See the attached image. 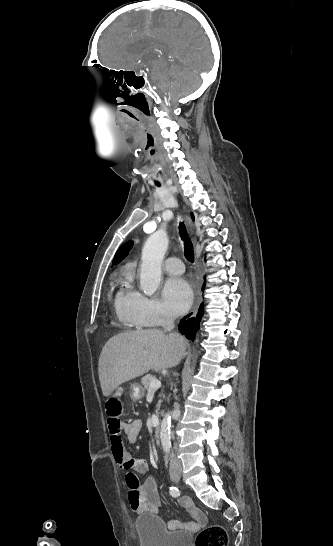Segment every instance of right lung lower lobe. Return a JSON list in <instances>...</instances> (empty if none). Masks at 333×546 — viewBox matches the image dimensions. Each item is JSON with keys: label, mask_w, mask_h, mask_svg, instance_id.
Listing matches in <instances>:
<instances>
[{"label": "right lung lower lobe", "mask_w": 333, "mask_h": 546, "mask_svg": "<svg viewBox=\"0 0 333 546\" xmlns=\"http://www.w3.org/2000/svg\"><path fill=\"white\" fill-rule=\"evenodd\" d=\"M204 286L202 287V291L204 290ZM191 314L186 315L184 318L180 320V323L178 325L179 331L186 336L187 339L194 340L196 333L199 329V323L203 315V305L201 304L199 307V311L195 317H190Z\"/></svg>", "instance_id": "obj_1"}]
</instances>
